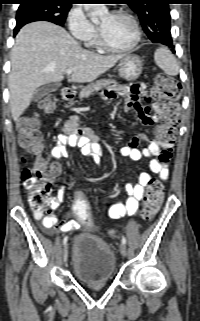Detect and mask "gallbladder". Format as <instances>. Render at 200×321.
I'll list each match as a JSON object with an SVG mask.
<instances>
[{
	"instance_id": "bac80fb5",
	"label": "gallbladder",
	"mask_w": 200,
	"mask_h": 321,
	"mask_svg": "<svg viewBox=\"0 0 200 321\" xmlns=\"http://www.w3.org/2000/svg\"><path fill=\"white\" fill-rule=\"evenodd\" d=\"M60 85L59 84H45L43 86H40L33 94L32 101L38 102L46 95L50 94L51 92H54L58 89Z\"/></svg>"
}]
</instances>
